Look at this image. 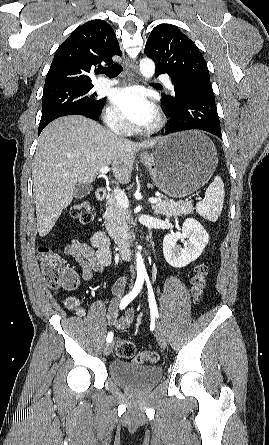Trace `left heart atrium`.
I'll return each mask as SVG.
<instances>
[{"instance_id":"obj_1","label":"left heart atrium","mask_w":269,"mask_h":445,"mask_svg":"<svg viewBox=\"0 0 269 445\" xmlns=\"http://www.w3.org/2000/svg\"><path fill=\"white\" fill-rule=\"evenodd\" d=\"M112 101L121 114L137 127H147L155 120L156 109L142 91L124 87L114 91Z\"/></svg>"}]
</instances>
